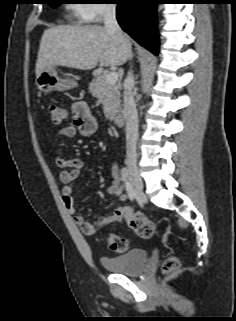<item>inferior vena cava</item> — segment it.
<instances>
[{"mask_svg":"<svg viewBox=\"0 0 236 321\" xmlns=\"http://www.w3.org/2000/svg\"><path fill=\"white\" fill-rule=\"evenodd\" d=\"M104 25L109 32L117 34L120 39H124L122 30L116 19V6L114 4H109L104 8ZM131 58V46H129V59ZM133 87L134 77L132 71H129L124 80L123 92V115L126 124V149L128 158L135 157L138 140V114L132 93Z\"/></svg>","mask_w":236,"mask_h":321,"instance_id":"602c4592","label":"inferior vena cava"}]
</instances>
